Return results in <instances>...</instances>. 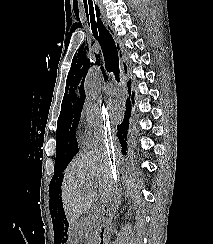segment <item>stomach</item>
<instances>
[{"mask_svg":"<svg viewBox=\"0 0 213 244\" xmlns=\"http://www.w3.org/2000/svg\"><path fill=\"white\" fill-rule=\"evenodd\" d=\"M70 226V234L69 238L67 240L68 244H79L80 240L82 238L83 229H80L79 226H82V221H69Z\"/></svg>","mask_w":213,"mask_h":244,"instance_id":"stomach-1","label":"stomach"}]
</instances>
